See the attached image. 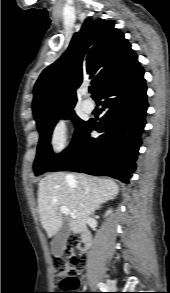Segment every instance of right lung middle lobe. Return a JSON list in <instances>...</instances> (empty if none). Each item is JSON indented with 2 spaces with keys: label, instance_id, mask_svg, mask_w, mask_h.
Segmentation results:
<instances>
[{
  "label": "right lung middle lobe",
  "instance_id": "1",
  "mask_svg": "<svg viewBox=\"0 0 170 293\" xmlns=\"http://www.w3.org/2000/svg\"><path fill=\"white\" fill-rule=\"evenodd\" d=\"M61 118H69L74 121L76 130L73 140L85 123L83 120L79 119L71 109L62 113L56 119L38 129L40 132V140L38 144L37 158L34 162L35 175H40L46 171H49L67 151L66 149L62 153L56 155L53 153L50 145L53 128L57 121Z\"/></svg>",
  "mask_w": 170,
  "mask_h": 293
}]
</instances>
